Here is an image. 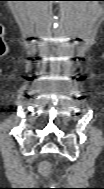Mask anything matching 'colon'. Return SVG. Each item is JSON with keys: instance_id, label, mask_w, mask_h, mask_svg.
I'll use <instances>...</instances> for the list:
<instances>
[{"instance_id": "1", "label": "colon", "mask_w": 104, "mask_h": 189, "mask_svg": "<svg viewBox=\"0 0 104 189\" xmlns=\"http://www.w3.org/2000/svg\"><path fill=\"white\" fill-rule=\"evenodd\" d=\"M50 171H51V168H50V165L48 163L41 164V166H40L41 174L47 176V175L50 174Z\"/></svg>"}]
</instances>
